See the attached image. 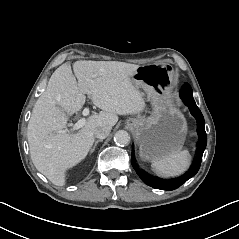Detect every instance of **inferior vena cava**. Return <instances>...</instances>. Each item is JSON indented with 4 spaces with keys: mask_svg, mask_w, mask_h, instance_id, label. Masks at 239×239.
<instances>
[{
    "mask_svg": "<svg viewBox=\"0 0 239 239\" xmlns=\"http://www.w3.org/2000/svg\"><path fill=\"white\" fill-rule=\"evenodd\" d=\"M111 131V128L106 125H101L95 128L94 130V136L99 139H104L106 138Z\"/></svg>",
    "mask_w": 239,
    "mask_h": 239,
    "instance_id": "obj_1",
    "label": "inferior vena cava"
}]
</instances>
